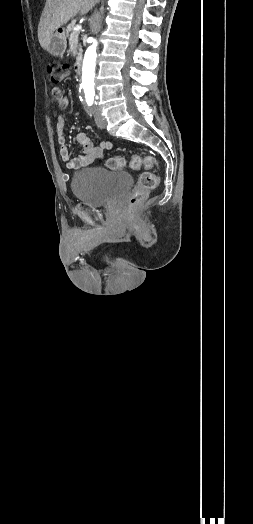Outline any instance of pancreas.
Instances as JSON below:
<instances>
[{
  "instance_id": "obj_1",
  "label": "pancreas",
  "mask_w": 253,
  "mask_h": 524,
  "mask_svg": "<svg viewBox=\"0 0 253 524\" xmlns=\"http://www.w3.org/2000/svg\"><path fill=\"white\" fill-rule=\"evenodd\" d=\"M75 24H76V20H72L68 25H67V29H66V33L68 36H74V37H78L79 35V31H74V27H75Z\"/></svg>"
}]
</instances>
